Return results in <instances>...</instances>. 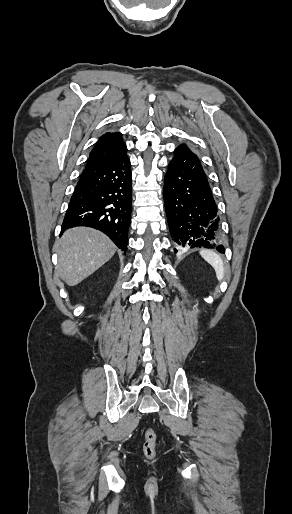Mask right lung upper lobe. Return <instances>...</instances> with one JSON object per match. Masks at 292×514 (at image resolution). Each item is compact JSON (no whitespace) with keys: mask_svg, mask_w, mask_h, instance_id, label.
<instances>
[{"mask_svg":"<svg viewBox=\"0 0 292 514\" xmlns=\"http://www.w3.org/2000/svg\"><path fill=\"white\" fill-rule=\"evenodd\" d=\"M127 152L122 140V134L107 132L100 137L93 150L90 152L87 164L100 165L113 161Z\"/></svg>","mask_w":292,"mask_h":514,"instance_id":"cb5924a9","label":"right lung upper lobe"}]
</instances>
